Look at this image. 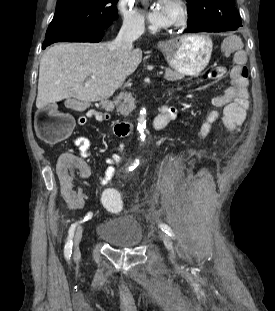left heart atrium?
<instances>
[{
	"label": "left heart atrium",
	"instance_id": "39dd6f15",
	"mask_svg": "<svg viewBox=\"0 0 275 311\" xmlns=\"http://www.w3.org/2000/svg\"><path fill=\"white\" fill-rule=\"evenodd\" d=\"M171 0H157L148 10V19L156 27H165L169 23V6Z\"/></svg>",
	"mask_w": 275,
	"mask_h": 311
}]
</instances>
